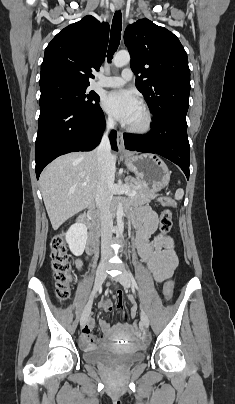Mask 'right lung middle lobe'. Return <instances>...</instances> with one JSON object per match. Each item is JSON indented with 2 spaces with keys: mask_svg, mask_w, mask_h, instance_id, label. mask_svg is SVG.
<instances>
[{
  "mask_svg": "<svg viewBox=\"0 0 235 404\" xmlns=\"http://www.w3.org/2000/svg\"><path fill=\"white\" fill-rule=\"evenodd\" d=\"M87 87L59 81L42 84L40 107L62 105L72 109H86L96 106L100 98L94 92L86 94Z\"/></svg>",
  "mask_w": 235,
  "mask_h": 404,
  "instance_id": "dd1d6c3e",
  "label": "right lung middle lobe"
}]
</instances>
